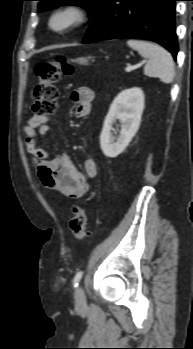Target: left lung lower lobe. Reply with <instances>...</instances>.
<instances>
[{
    "label": "left lung lower lobe",
    "instance_id": "1",
    "mask_svg": "<svg viewBox=\"0 0 193 349\" xmlns=\"http://www.w3.org/2000/svg\"><path fill=\"white\" fill-rule=\"evenodd\" d=\"M176 1L106 0L83 43L126 38L151 40L168 49L176 59Z\"/></svg>",
    "mask_w": 193,
    "mask_h": 349
}]
</instances>
